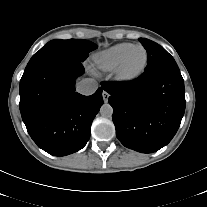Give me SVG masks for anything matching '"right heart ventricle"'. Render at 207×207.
Here are the masks:
<instances>
[{"mask_svg": "<svg viewBox=\"0 0 207 207\" xmlns=\"http://www.w3.org/2000/svg\"><path fill=\"white\" fill-rule=\"evenodd\" d=\"M132 43H118L106 48L93 57L95 69L103 72L115 70L125 53L133 46Z\"/></svg>", "mask_w": 207, "mask_h": 207, "instance_id": "obj_1", "label": "right heart ventricle"}]
</instances>
